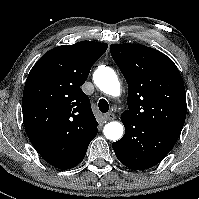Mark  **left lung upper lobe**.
<instances>
[{"instance_id": "obj_1", "label": "left lung upper lobe", "mask_w": 199, "mask_h": 199, "mask_svg": "<svg viewBox=\"0 0 199 199\" xmlns=\"http://www.w3.org/2000/svg\"><path fill=\"white\" fill-rule=\"evenodd\" d=\"M110 52L129 87L128 110L121 119H135L178 139L187 104L184 82L173 61L140 44H112Z\"/></svg>"}]
</instances>
